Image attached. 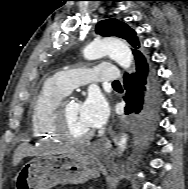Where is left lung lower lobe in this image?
<instances>
[{
	"label": "left lung lower lobe",
	"instance_id": "obj_1",
	"mask_svg": "<svg viewBox=\"0 0 188 189\" xmlns=\"http://www.w3.org/2000/svg\"><path fill=\"white\" fill-rule=\"evenodd\" d=\"M125 113L131 115L138 131L152 128L161 109V87L150 61L136 63V72L124 75Z\"/></svg>",
	"mask_w": 188,
	"mask_h": 189
}]
</instances>
